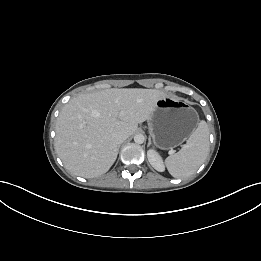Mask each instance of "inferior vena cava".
<instances>
[{
    "mask_svg": "<svg viewBox=\"0 0 261 261\" xmlns=\"http://www.w3.org/2000/svg\"><path fill=\"white\" fill-rule=\"evenodd\" d=\"M112 138L116 144H121L128 138V135L124 132H116L112 135Z\"/></svg>",
    "mask_w": 261,
    "mask_h": 261,
    "instance_id": "1",
    "label": "inferior vena cava"
}]
</instances>
